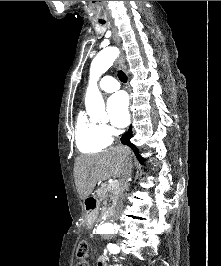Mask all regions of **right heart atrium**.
Returning <instances> with one entry per match:
<instances>
[{
  "mask_svg": "<svg viewBox=\"0 0 221 266\" xmlns=\"http://www.w3.org/2000/svg\"><path fill=\"white\" fill-rule=\"evenodd\" d=\"M102 131L104 133V135L107 137V138H111L113 135H114V130L112 127L106 125V124H103L102 125Z\"/></svg>",
  "mask_w": 221,
  "mask_h": 266,
  "instance_id": "obj_1",
  "label": "right heart atrium"
}]
</instances>
